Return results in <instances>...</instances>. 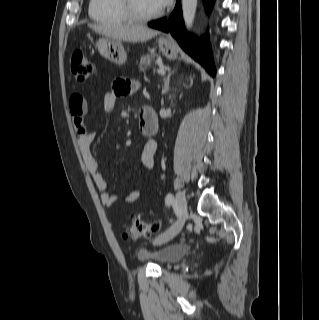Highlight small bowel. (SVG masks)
Masks as SVG:
<instances>
[{
    "mask_svg": "<svg viewBox=\"0 0 319 320\" xmlns=\"http://www.w3.org/2000/svg\"><path fill=\"white\" fill-rule=\"evenodd\" d=\"M139 87L136 81L127 78H118L114 82V90L104 94L102 98V107L106 113L111 112L119 97H125L134 93ZM69 110L72 115L73 124L77 133L78 148L87 170L91 173L93 181L100 192V199L106 207H111L117 200L116 195L108 191L107 183L99 171L97 159L94 157L91 147L95 139L96 132L88 130L84 123L86 111V102L83 96L75 93L70 97ZM157 153V143L154 140H147L141 151L140 160L147 169H152L155 163ZM140 197V191L135 189L124 197V202L131 204Z\"/></svg>",
    "mask_w": 319,
    "mask_h": 320,
    "instance_id": "small-bowel-1",
    "label": "small bowel"
}]
</instances>
